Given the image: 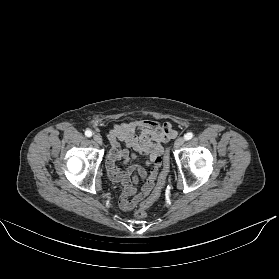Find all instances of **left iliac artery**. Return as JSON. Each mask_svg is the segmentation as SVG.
Here are the masks:
<instances>
[{
  "label": "left iliac artery",
  "instance_id": "left-iliac-artery-1",
  "mask_svg": "<svg viewBox=\"0 0 279 279\" xmlns=\"http://www.w3.org/2000/svg\"><path fill=\"white\" fill-rule=\"evenodd\" d=\"M193 137V133L192 132H188L184 135V139L185 140H190Z\"/></svg>",
  "mask_w": 279,
  "mask_h": 279
}]
</instances>
